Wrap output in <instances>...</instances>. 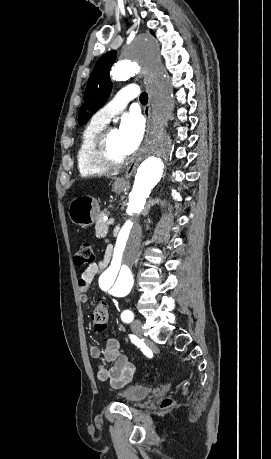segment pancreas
I'll list each match as a JSON object with an SVG mask.
<instances>
[{"label": "pancreas", "instance_id": "1", "mask_svg": "<svg viewBox=\"0 0 271 459\" xmlns=\"http://www.w3.org/2000/svg\"><path fill=\"white\" fill-rule=\"evenodd\" d=\"M105 216H107V214H105ZM109 224V221L107 219H103V218H98V222L95 226V229H96V236L99 238V239H102L107 231H108V225Z\"/></svg>", "mask_w": 271, "mask_h": 459}]
</instances>
